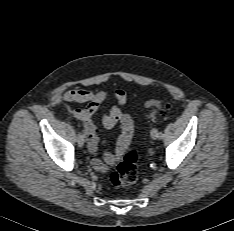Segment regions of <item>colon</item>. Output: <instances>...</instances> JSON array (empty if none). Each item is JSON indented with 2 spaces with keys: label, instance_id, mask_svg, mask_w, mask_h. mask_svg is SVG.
<instances>
[{
  "label": "colon",
  "instance_id": "colon-1",
  "mask_svg": "<svg viewBox=\"0 0 234 231\" xmlns=\"http://www.w3.org/2000/svg\"><path fill=\"white\" fill-rule=\"evenodd\" d=\"M149 107L152 111H156L162 105L160 100H153L149 102ZM137 161L138 151L136 148L129 149L124 155L122 161L110 173L109 181L116 187H126L132 185L137 179Z\"/></svg>",
  "mask_w": 234,
  "mask_h": 231
}]
</instances>
